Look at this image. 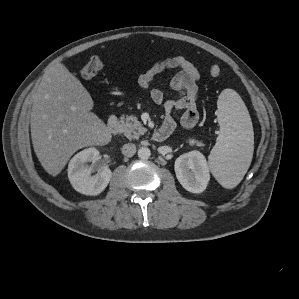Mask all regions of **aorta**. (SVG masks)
<instances>
[{
  "label": "aorta",
  "instance_id": "1",
  "mask_svg": "<svg viewBox=\"0 0 299 299\" xmlns=\"http://www.w3.org/2000/svg\"><path fill=\"white\" fill-rule=\"evenodd\" d=\"M151 155V151L148 147H141L138 150V157L142 160H147Z\"/></svg>",
  "mask_w": 299,
  "mask_h": 299
}]
</instances>
